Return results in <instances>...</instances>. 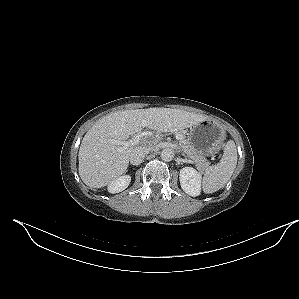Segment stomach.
Here are the masks:
<instances>
[{"instance_id":"1","label":"stomach","mask_w":299,"mask_h":299,"mask_svg":"<svg viewBox=\"0 0 299 299\" xmlns=\"http://www.w3.org/2000/svg\"><path fill=\"white\" fill-rule=\"evenodd\" d=\"M224 139L223 128L209 119L190 127L188 131V141L204 156L216 154L221 149Z\"/></svg>"}]
</instances>
